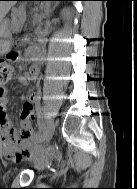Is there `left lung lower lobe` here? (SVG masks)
<instances>
[{
    "label": "left lung lower lobe",
    "mask_w": 137,
    "mask_h": 189,
    "mask_svg": "<svg viewBox=\"0 0 137 189\" xmlns=\"http://www.w3.org/2000/svg\"><path fill=\"white\" fill-rule=\"evenodd\" d=\"M65 1H74V0H65Z\"/></svg>",
    "instance_id": "0a47b994"
}]
</instances>
